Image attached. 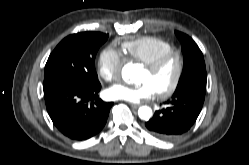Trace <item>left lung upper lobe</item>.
<instances>
[{
  "label": "left lung upper lobe",
  "mask_w": 249,
  "mask_h": 165,
  "mask_svg": "<svg viewBox=\"0 0 249 165\" xmlns=\"http://www.w3.org/2000/svg\"><path fill=\"white\" fill-rule=\"evenodd\" d=\"M182 43L184 56L183 72L179 79L175 93L189 88H201L206 90V67L203 54L197 44L184 33L175 32Z\"/></svg>",
  "instance_id": "5c2ea615"
}]
</instances>
